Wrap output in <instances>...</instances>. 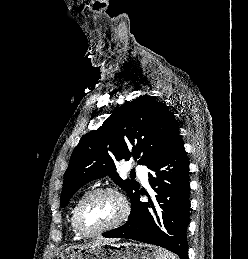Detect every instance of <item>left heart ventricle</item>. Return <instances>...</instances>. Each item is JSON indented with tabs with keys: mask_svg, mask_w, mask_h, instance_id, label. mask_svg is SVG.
Instances as JSON below:
<instances>
[{
	"mask_svg": "<svg viewBox=\"0 0 248 259\" xmlns=\"http://www.w3.org/2000/svg\"><path fill=\"white\" fill-rule=\"evenodd\" d=\"M121 211V202L115 195L99 194L91 198L82 208L81 222L87 230H98L114 222Z\"/></svg>",
	"mask_w": 248,
	"mask_h": 259,
	"instance_id": "1",
	"label": "left heart ventricle"
}]
</instances>
